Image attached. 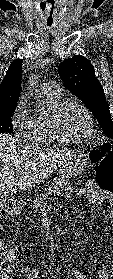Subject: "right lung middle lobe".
<instances>
[{
    "instance_id": "1",
    "label": "right lung middle lobe",
    "mask_w": 113,
    "mask_h": 279,
    "mask_svg": "<svg viewBox=\"0 0 113 279\" xmlns=\"http://www.w3.org/2000/svg\"><path fill=\"white\" fill-rule=\"evenodd\" d=\"M14 109L15 107H10L0 110V133H14L11 123Z\"/></svg>"
}]
</instances>
